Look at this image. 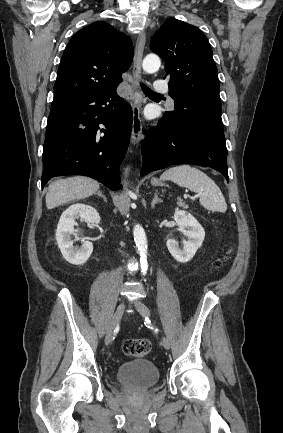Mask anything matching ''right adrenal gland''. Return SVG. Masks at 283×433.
<instances>
[{
    "label": "right adrenal gland",
    "mask_w": 283,
    "mask_h": 433,
    "mask_svg": "<svg viewBox=\"0 0 283 433\" xmlns=\"http://www.w3.org/2000/svg\"><path fill=\"white\" fill-rule=\"evenodd\" d=\"M94 194H98V196H102L103 200H105V202H107V198H106L105 194H102L101 190H97V192H94Z\"/></svg>",
    "instance_id": "2a0ac1e0"
}]
</instances>
